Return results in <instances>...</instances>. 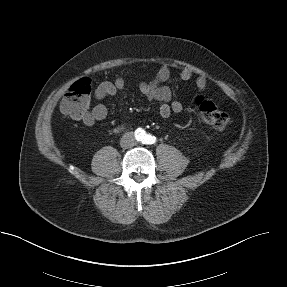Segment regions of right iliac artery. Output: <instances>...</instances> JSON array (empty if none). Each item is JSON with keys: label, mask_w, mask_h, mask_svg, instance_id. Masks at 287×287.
<instances>
[{"label": "right iliac artery", "mask_w": 287, "mask_h": 287, "mask_svg": "<svg viewBox=\"0 0 287 287\" xmlns=\"http://www.w3.org/2000/svg\"><path fill=\"white\" fill-rule=\"evenodd\" d=\"M135 136H136L137 140L142 141L145 137V131L139 128L135 131Z\"/></svg>", "instance_id": "right-iliac-artery-1"}]
</instances>
